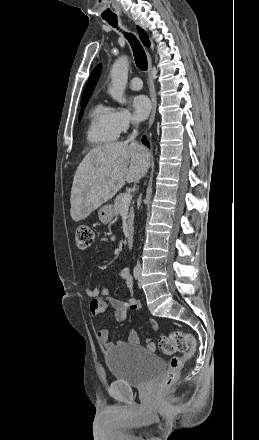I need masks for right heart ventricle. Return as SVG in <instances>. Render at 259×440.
I'll return each instance as SVG.
<instances>
[{
	"instance_id": "1",
	"label": "right heart ventricle",
	"mask_w": 259,
	"mask_h": 440,
	"mask_svg": "<svg viewBox=\"0 0 259 440\" xmlns=\"http://www.w3.org/2000/svg\"><path fill=\"white\" fill-rule=\"evenodd\" d=\"M118 134L112 124V109L97 103L88 114L86 139L93 146L107 145L114 142Z\"/></svg>"
}]
</instances>
